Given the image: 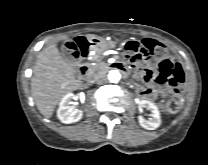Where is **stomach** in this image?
Returning <instances> with one entry per match:
<instances>
[{
  "label": "stomach",
  "mask_w": 208,
  "mask_h": 165,
  "mask_svg": "<svg viewBox=\"0 0 208 165\" xmlns=\"http://www.w3.org/2000/svg\"><path fill=\"white\" fill-rule=\"evenodd\" d=\"M87 41L89 43L90 50H94L98 53L113 48L116 45V43L112 40H107L95 35H88Z\"/></svg>",
  "instance_id": "1"
}]
</instances>
